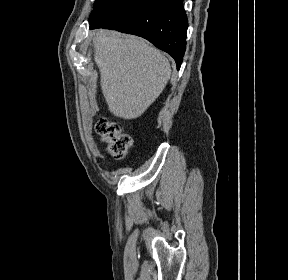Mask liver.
Masks as SVG:
<instances>
[{
	"label": "liver",
	"mask_w": 288,
	"mask_h": 280,
	"mask_svg": "<svg viewBox=\"0 0 288 280\" xmlns=\"http://www.w3.org/2000/svg\"><path fill=\"white\" fill-rule=\"evenodd\" d=\"M100 85L111 113L140 117L164 90L171 75L159 50L134 36L112 37L100 30L93 38Z\"/></svg>",
	"instance_id": "liver-1"
}]
</instances>
